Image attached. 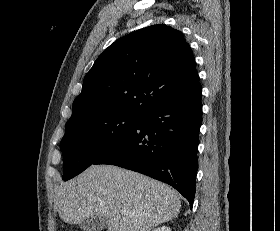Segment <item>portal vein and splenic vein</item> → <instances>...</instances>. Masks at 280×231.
<instances>
[{"label":"portal vein and splenic vein","instance_id":"portal-vein-and-splenic-vein-1","mask_svg":"<svg viewBox=\"0 0 280 231\" xmlns=\"http://www.w3.org/2000/svg\"><path fill=\"white\" fill-rule=\"evenodd\" d=\"M121 213H126V211H123V209H122Z\"/></svg>","mask_w":280,"mask_h":231}]
</instances>
